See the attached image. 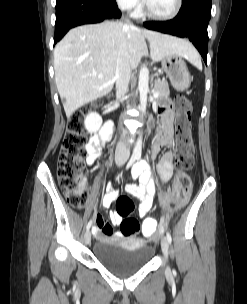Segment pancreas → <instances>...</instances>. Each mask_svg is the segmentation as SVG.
I'll use <instances>...</instances> for the list:
<instances>
[{"instance_id": "1", "label": "pancreas", "mask_w": 247, "mask_h": 304, "mask_svg": "<svg viewBox=\"0 0 247 304\" xmlns=\"http://www.w3.org/2000/svg\"><path fill=\"white\" fill-rule=\"evenodd\" d=\"M154 91L158 93V98L169 96L170 91L168 82L165 79L155 81Z\"/></svg>"}]
</instances>
